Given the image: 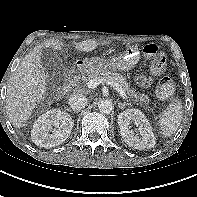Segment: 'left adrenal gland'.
Returning a JSON list of instances; mask_svg holds the SVG:
<instances>
[{
  "label": "left adrenal gland",
  "instance_id": "1",
  "mask_svg": "<svg viewBox=\"0 0 197 197\" xmlns=\"http://www.w3.org/2000/svg\"><path fill=\"white\" fill-rule=\"evenodd\" d=\"M127 105H131V103H128V102H124V103L118 102V107L120 109H124L125 106H127Z\"/></svg>",
  "mask_w": 197,
  "mask_h": 197
}]
</instances>
